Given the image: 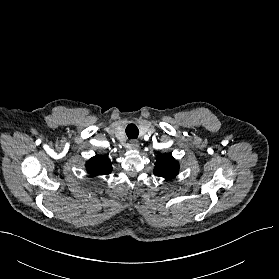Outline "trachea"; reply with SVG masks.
<instances>
[{
    "label": "trachea",
    "mask_w": 279,
    "mask_h": 279,
    "mask_svg": "<svg viewBox=\"0 0 279 279\" xmlns=\"http://www.w3.org/2000/svg\"><path fill=\"white\" fill-rule=\"evenodd\" d=\"M126 134L128 136L129 139H134V138H137L138 137V134H139V130L137 128L136 125L134 124H129L127 127H126Z\"/></svg>",
    "instance_id": "3493384b"
}]
</instances>
